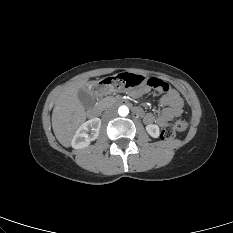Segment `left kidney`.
Instances as JSON below:
<instances>
[{"label": "left kidney", "mask_w": 233, "mask_h": 233, "mask_svg": "<svg viewBox=\"0 0 233 233\" xmlns=\"http://www.w3.org/2000/svg\"><path fill=\"white\" fill-rule=\"evenodd\" d=\"M146 131L153 138H157L159 136V134H160L159 127L157 125H155V124L147 125L146 126Z\"/></svg>", "instance_id": "5707ae66"}]
</instances>
